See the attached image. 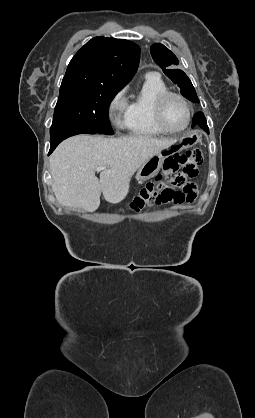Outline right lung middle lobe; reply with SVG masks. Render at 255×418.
Listing matches in <instances>:
<instances>
[{
  "label": "right lung middle lobe",
  "instance_id": "obj_1",
  "mask_svg": "<svg viewBox=\"0 0 255 418\" xmlns=\"http://www.w3.org/2000/svg\"><path fill=\"white\" fill-rule=\"evenodd\" d=\"M120 90L101 86L61 85L50 136L72 129L113 135L109 106Z\"/></svg>",
  "mask_w": 255,
  "mask_h": 418
}]
</instances>
